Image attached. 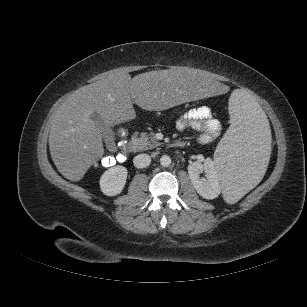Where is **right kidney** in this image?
<instances>
[{"label": "right kidney", "mask_w": 307, "mask_h": 307, "mask_svg": "<svg viewBox=\"0 0 307 307\" xmlns=\"http://www.w3.org/2000/svg\"><path fill=\"white\" fill-rule=\"evenodd\" d=\"M127 169L117 165L106 170L100 178V189L107 196H116L122 192L127 180Z\"/></svg>", "instance_id": "ca27d5eb"}]
</instances>
